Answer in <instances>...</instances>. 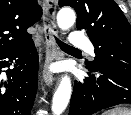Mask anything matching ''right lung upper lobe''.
Returning a JSON list of instances; mask_svg holds the SVG:
<instances>
[{
	"label": "right lung upper lobe",
	"instance_id": "cb5924a9",
	"mask_svg": "<svg viewBox=\"0 0 131 115\" xmlns=\"http://www.w3.org/2000/svg\"><path fill=\"white\" fill-rule=\"evenodd\" d=\"M41 16L42 8L37 0H0V53L33 41L27 28Z\"/></svg>",
	"mask_w": 131,
	"mask_h": 115
}]
</instances>
